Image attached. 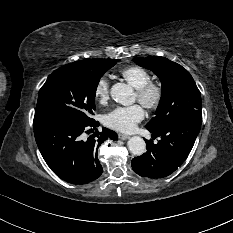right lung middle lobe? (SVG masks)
Returning a JSON list of instances; mask_svg holds the SVG:
<instances>
[{"mask_svg":"<svg viewBox=\"0 0 233 233\" xmlns=\"http://www.w3.org/2000/svg\"><path fill=\"white\" fill-rule=\"evenodd\" d=\"M117 59H97L90 65L67 64L49 75L39 91L35 117L56 116L91 122L95 93L102 75Z\"/></svg>","mask_w":233,"mask_h":233,"instance_id":"right-lung-middle-lobe-1","label":"right lung middle lobe"}]
</instances>
